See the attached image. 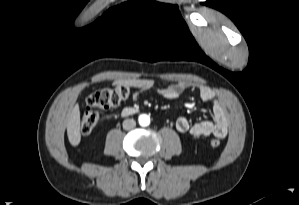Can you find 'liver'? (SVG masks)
Wrapping results in <instances>:
<instances>
[{"mask_svg": "<svg viewBox=\"0 0 299 205\" xmlns=\"http://www.w3.org/2000/svg\"><path fill=\"white\" fill-rule=\"evenodd\" d=\"M67 135L72 146H77L81 141L80 133V110L79 105L75 104L67 117Z\"/></svg>", "mask_w": 299, "mask_h": 205, "instance_id": "6515ba94", "label": "liver"}]
</instances>
